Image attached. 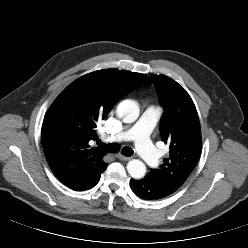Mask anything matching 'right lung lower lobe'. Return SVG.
Instances as JSON below:
<instances>
[{
	"label": "right lung lower lobe",
	"instance_id": "98d812e1",
	"mask_svg": "<svg viewBox=\"0 0 248 248\" xmlns=\"http://www.w3.org/2000/svg\"><path fill=\"white\" fill-rule=\"evenodd\" d=\"M100 176L101 174L97 175L93 180H91L86 186H84L83 188H81L80 190L77 191H84V190H88L91 189L92 187H94L100 180Z\"/></svg>",
	"mask_w": 248,
	"mask_h": 248
}]
</instances>
